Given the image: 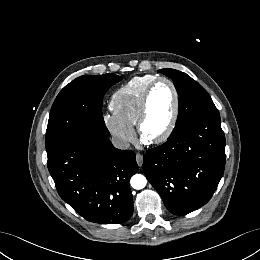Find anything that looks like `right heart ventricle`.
Returning a JSON list of instances; mask_svg holds the SVG:
<instances>
[{"mask_svg": "<svg viewBox=\"0 0 260 260\" xmlns=\"http://www.w3.org/2000/svg\"><path fill=\"white\" fill-rule=\"evenodd\" d=\"M156 78L154 75L134 77L118 88L110 98L113 113L129 125H136L142 98Z\"/></svg>", "mask_w": 260, "mask_h": 260, "instance_id": "right-heart-ventricle-1", "label": "right heart ventricle"}]
</instances>
